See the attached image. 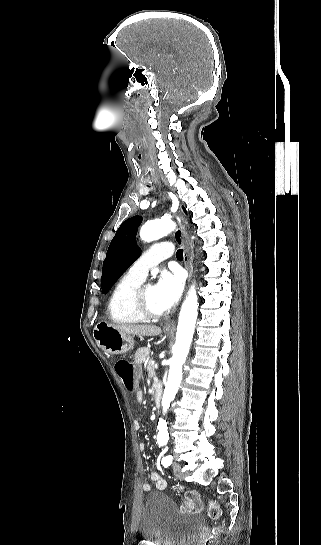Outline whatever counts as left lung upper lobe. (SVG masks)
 <instances>
[{"instance_id": "1", "label": "left lung upper lobe", "mask_w": 321, "mask_h": 545, "mask_svg": "<svg viewBox=\"0 0 321 545\" xmlns=\"http://www.w3.org/2000/svg\"><path fill=\"white\" fill-rule=\"evenodd\" d=\"M142 217L124 221L112 239L102 270V293L106 294L127 268L138 258L140 250L135 237Z\"/></svg>"}]
</instances>
